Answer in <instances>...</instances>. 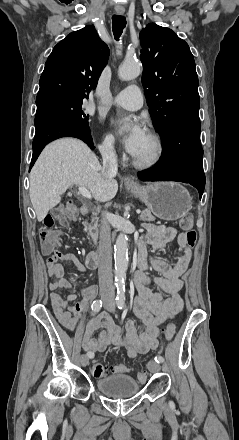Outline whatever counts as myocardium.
Returning <instances> with one entry per match:
<instances>
[{
  "mask_svg": "<svg viewBox=\"0 0 239 440\" xmlns=\"http://www.w3.org/2000/svg\"><path fill=\"white\" fill-rule=\"evenodd\" d=\"M155 144V154L150 159H142L132 155V163L135 167L142 170L153 169L160 164L165 155V144L162 137L155 131L150 130L147 133Z\"/></svg>",
  "mask_w": 239,
  "mask_h": 440,
  "instance_id": "f54148a6",
  "label": "myocardium"
}]
</instances>
